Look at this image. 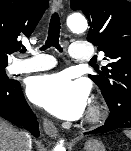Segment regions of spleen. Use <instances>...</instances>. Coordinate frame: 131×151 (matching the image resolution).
Here are the masks:
<instances>
[{
  "mask_svg": "<svg viewBox=\"0 0 131 151\" xmlns=\"http://www.w3.org/2000/svg\"><path fill=\"white\" fill-rule=\"evenodd\" d=\"M124 133L129 139H131V131L126 130Z\"/></svg>",
  "mask_w": 131,
  "mask_h": 151,
  "instance_id": "obj_1",
  "label": "spleen"
}]
</instances>
